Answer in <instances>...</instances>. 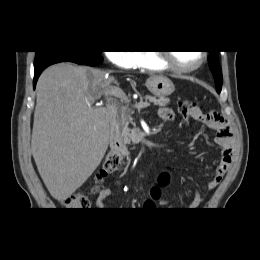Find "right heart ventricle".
Here are the masks:
<instances>
[{"label":"right heart ventricle","instance_id":"e07e8e85","mask_svg":"<svg viewBox=\"0 0 260 260\" xmlns=\"http://www.w3.org/2000/svg\"><path fill=\"white\" fill-rule=\"evenodd\" d=\"M136 67L152 71L165 70L168 67L162 63L152 51H140L137 53Z\"/></svg>","mask_w":260,"mask_h":260}]
</instances>
